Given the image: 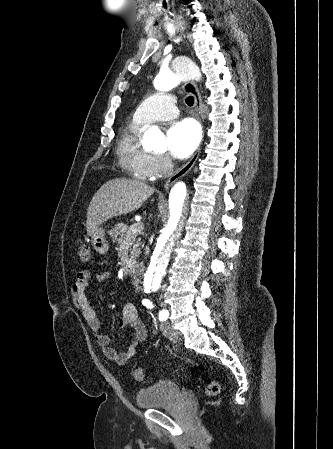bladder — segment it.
Masks as SVG:
<instances>
[{
    "label": "bladder",
    "mask_w": 333,
    "mask_h": 449,
    "mask_svg": "<svg viewBox=\"0 0 333 449\" xmlns=\"http://www.w3.org/2000/svg\"><path fill=\"white\" fill-rule=\"evenodd\" d=\"M181 394L178 383L169 380L158 381L140 389L136 394V405L142 409L172 406Z\"/></svg>",
    "instance_id": "1"
}]
</instances>
